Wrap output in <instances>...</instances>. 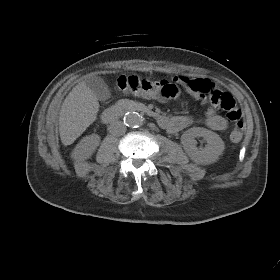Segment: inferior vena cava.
Instances as JSON below:
<instances>
[{"instance_id":"obj_1","label":"inferior vena cava","mask_w":280,"mask_h":280,"mask_svg":"<svg viewBox=\"0 0 280 280\" xmlns=\"http://www.w3.org/2000/svg\"><path fill=\"white\" fill-rule=\"evenodd\" d=\"M127 128L121 121H114L109 126V131L114 136H121L126 132Z\"/></svg>"}]
</instances>
